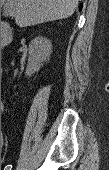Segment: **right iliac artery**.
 I'll return each mask as SVG.
<instances>
[{
    "label": "right iliac artery",
    "instance_id": "obj_1",
    "mask_svg": "<svg viewBox=\"0 0 109 170\" xmlns=\"http://www.w3.org/2000/svg\"><path fill=\"white\" fill-rule=\"evenodd\" d=\"M12 169V165H7L5 166L4 170H11Z\"/></svg>",
    "mask_w": 109,
    "mask_h": 170
}]
</instances>
